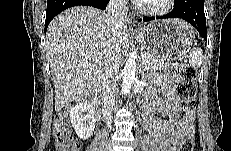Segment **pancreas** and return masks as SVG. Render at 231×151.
I'll list each match as a JSON object with an SVG mask.
<instances>
[{
    "instance_id": "obj_1",
    "label": "pancreas",
    "mask_w": 231,
    "mask_h": 151,
    "mask_svg": "<svg viewBox=\"0 0 231 151\" xmlns=\"http://www.w3.org/2000/svg\"><path fill=\"white\" fill-rule=\"evenodd\" d=\"M142 69L144 71H167L177 70L178 64L163 60L157 56L147 53V57L142 58Z\"/></svg>"
}]
</instances>
